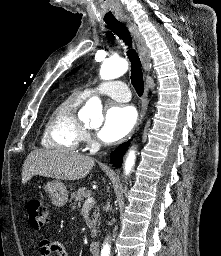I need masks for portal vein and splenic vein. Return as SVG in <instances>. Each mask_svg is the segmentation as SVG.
Wrapping results in <instances>:
<instances>
[{
    "label": "portal vein and splenic vein",
    "instance_id": "portal-vein-and-splenic-vein-1",
    "mask_svg": "<svg viewBox=\"0 0 221 256\" xmlns=\"http://www.w3.org/2000/svg\"><path fill=\"white\" fill-rule=\"evenodd\" d=\"M95 200L92 198V197H88L85 201V203L83 204V207L86 208V207H89L91 206L92 204H94Z\"/></svg>",
    "mask_w": 221,
    "mask_h": 256
}]
</instances>
